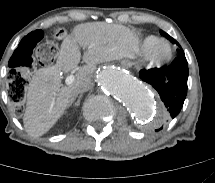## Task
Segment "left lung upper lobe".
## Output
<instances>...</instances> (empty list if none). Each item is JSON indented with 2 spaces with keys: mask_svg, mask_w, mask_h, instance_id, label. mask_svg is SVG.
Segmentation results:
<instances>
[{
  "mask_svg": "<svg viewBox=\"0 0 215 183\" xmlns=\"http://www.w3.org/2000/svg\"><path fill=\"white\" fill-rule=\"evenodd\" d=\"M160 33L162 35H164L165 37H167L171 42L177 44L179 46V49H177L178 55H183L184 51L182 50V48L180 47V45L178 44V42L176 40H174L171 36H169L167 33H165L164 31H160Z\"/></svg>",
  "mask_w": 215,
  "mask_h": 183,
  "instance_id": "5c2ea615",
  "label": "left lung upper lobe"
}]
</instances>
